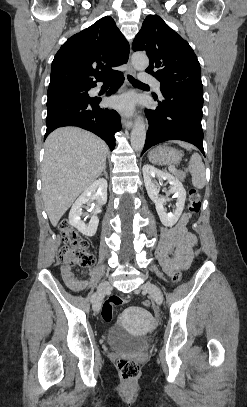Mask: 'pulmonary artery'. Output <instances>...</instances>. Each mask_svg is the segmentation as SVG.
<instances>
[{"label": "pulmonary artery", "mask_w": 247, "mask_h": 407, "mask_svg": "<svg viewBox=\"0 0 247 407\" xmlns=\"http://www.w3.org/2000/svg\"><path fill=\"white\" fill-rule=\"evenodd\" d=\"M139 79L141 82L146 83V84H151L153 85L158 91L160 89V83L159 81L152 75L147 74L145 72H141L139 74Z\"/></svg>", "instance_id": "obj_1"}]
</instances>
